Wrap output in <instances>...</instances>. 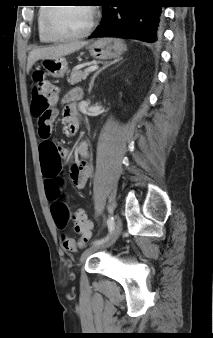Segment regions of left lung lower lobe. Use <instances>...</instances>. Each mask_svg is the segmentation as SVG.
I'll return each instance as SVG.
<instances>
[{"label":"left lung lower lobe","instance_id":"1","mask_svg":"<svg viewBox=\"0 0 213 338\" xmlns=\"http://www.w3.org/2000/svg\"><path fill=\"white\" fill-rule=\"evenodd\" d=\"M101 24L89 36L121 37L155 43L162 37L161 0H104Z\"/></svg>","mask_w":213,"mask_h":338}]
</instances>
